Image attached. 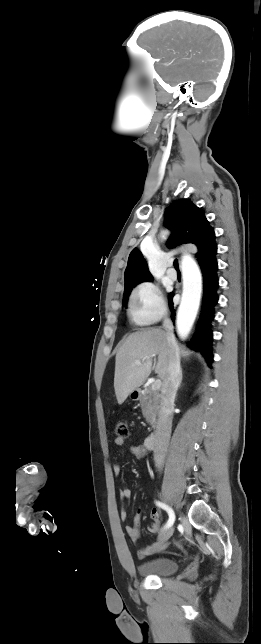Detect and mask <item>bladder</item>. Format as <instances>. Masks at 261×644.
<instances>
[{
	"label": "bladder",
	"instance_id": "31cf9c89",
	"mask_svg": "<svg viewBox=\"0 0 261 644\" xmlns=\"http://www.w3.org/2000/svg\"><path fill=\"white\" fill-rule=\"evenodd\" d=\"M177 569V562L168 557L154 558L137 567L138 572L145 576H167L175 573Z\"/></svg>",
	"mask_w": 261,
	"mask_h": 644
}]
</instances>
